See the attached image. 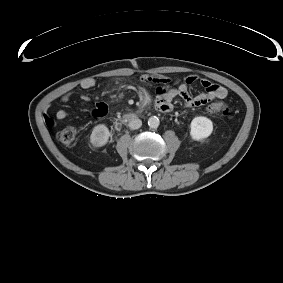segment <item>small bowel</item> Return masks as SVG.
<instances>
[{
  "label": "small bowel",
  "mask_w": 283,
  "mask_h": 283,
  "mask_svg": "<svg viewBox=\"0 0 283 283\" xmlns=\"http://www.w3.org/2000/svg\"><path fill=\"white\" fill-rule=\"evenodd\" d=\"M199 81L200 85L203 87L204 91L192 95L189 92V86ZM96 79L85 78L79 84V89L88 90L96 85ZM143 86H156L157 97H156V107L161 111H169L173 106V100L175 98H180L187 107H200L215 99H223L227 96V90L221 86L212 83L208 79L198 78L197 76L191 75L184 77L181 82L175 86L172 85L171 78L164 75H144L141 78ZM142 93H146L144 87L142 88ZM75 91H67L61 96V101L64 103L69 102ZM84 101L88 100V96L85 94L81 95ZM107 112V104L105 102H99L96 105L93 113L98 116H103ZM69 117V112L65 109L57 111L55 116H45V123L48 127H53L56 121H62Z\"/></svg>",
  "instance_id": "obj_1"
}]
</instances>
